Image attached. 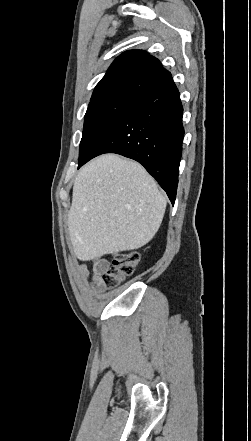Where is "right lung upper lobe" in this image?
Here are the masks:
<instances>
[{
  "label": "right lung upper lobe",
  "instance_id": "right-lung-upper-lobe-1",
  "mask_svg": "<svg viewBox=\"0 0 251 441\" xmlns=\"http://www.w3.org/2000/svg\"><path fill=\"white\" fill-rule=\"evenodd\" d=\"M171 77L159 60L142 50H130L115 59L96 85L90 103L112 98L139 99Z\"/></svg>",
  "mask_w": 251,
  "mask_h": 441
}]
</instances>
